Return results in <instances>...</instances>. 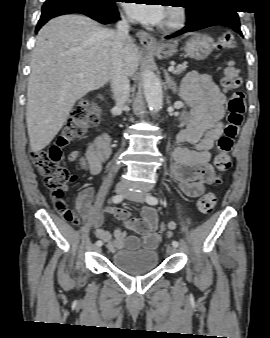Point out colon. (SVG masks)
I'll return each instance as SVG.
<instances>
[{
  "instance_id": "5ec220e1",
  "label": "colon",
  "mask_w": 270,
  "mask_h": 338,
  "mask_svg": "<svg viewBox=\"0 0 270 338\" xmlns=\"http://www.w3.org/2000/svg\"><path fill=\"white\" fill-rule=\"evenodd\" d=\"M215 44L219 49L232 50L236 45L235 37L232 33H224L216 40ZM221 84L224 89L232 93L227 102L224 132L218 140V153L213 161L219 174L225 173L231 168L232 158L230 154L244 118V95L238 90L241 79L237 65L232 62L228 63L224 69ZM96 121V105L93 102H84L72 110L70 117L49 148L31 153L32 163L44 177L45 186L51 192L54 208L70 222L74 219L73 212L65 207L63 200L65 192L76 181L77 177L61 164L62 149L82 139L89 126ZM215 204V195L208 193L198 199L197 208L203 214H210ZM131 228H138V225L133 223ZM164 229L165 227L162 226V230Z\"/></svg>"
}]
</instances>
